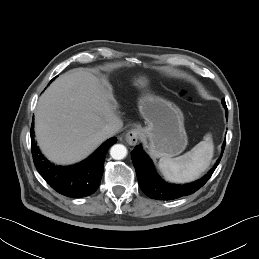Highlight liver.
Returning <instances> with one entry per match:
<instances>
[{
	"instance_id": "liver-1",
	"label": "liver",
	"mask_w": 259,
	"mask_h": 259,
	"mask_svg": "<svg viewBox=\"0 0 259 259\" xmlns=\"http://www.w3.org/2000/svg\"><path fill=\"white\" fill-rule=\"evenodd\" d=\"M118 102L106 78L78 68L60 75L41 95L35 134L44 155L57 164L86 158L109 136L110 123L122 127Z\"/></svg>"
}]
</instances>
